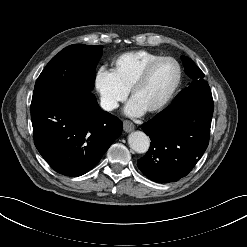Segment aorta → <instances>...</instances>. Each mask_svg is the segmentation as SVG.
<instances>
[{
  "label": "aorta",
  "instance_id": "obj_1",
  "mask_svg": "<svg viewBox=\"0 0 247 247\" xmlns=\"http://www.w3.org/2000/svg\"><path fill=\"white\" fill-rule=\"evenodd\" d=\"M128 143L135 152L145 153L149 149L150 139L144 132L135 131L128 136Z\"/></svg>",
  "mask_w": 247,
  "mask_h": 247
}]
</instances>
